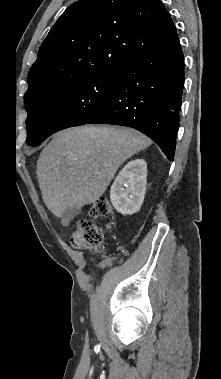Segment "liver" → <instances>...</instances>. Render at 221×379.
<instances>
[{"label":"liver","instance_id":"obj_1","mask_svg":"<svg viewBox=\"0 0 221 379\" xmlns=\"http://www.w3.org/2000/svg\"><path fill=\"white\" fill-rule=\"evenodd\" d=\"M151 144L147 136L132 128L83 126L58 132L37 161L45 205L61 217L66 208L94 203L120 165Z\"/></svg>","mask_w":221,"mask_h":379}]
</instances>
